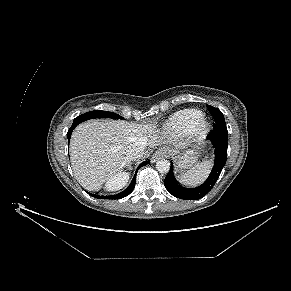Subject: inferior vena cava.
<instances>
[{"mask_svg":"<svg viewBox=\"0 0 291 291\" xmlns=\"http://www.w3.org/2000/svg\"><path fill=\"white\" fill-rule=\"evenodd\" d=\"M144 150H145V146L143 144L132 146L128 150V155L132 160L138 159L143 156Z\"/></svg>","mask_w":291,"mask_h":291,"instance_id":"1","label":"inferior vena cava"}]
</instances>
